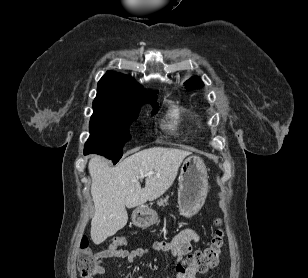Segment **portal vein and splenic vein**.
Masks as SVG:
<instances>
[{"label":"portal vein and splenic vein","instance_id":"portal-vein-and-splenic-vein-1","mask_svg":"<svg viewBox=\"0 0 308 278\" xmlns=\"http://www.w3.org/2000/svg\"><path fill=\"white\" fill-rule=\"evenodd\" d=\"M152 174H154L153 171L149 172L148 174H141V175L139 176V178L142 179V178L146 177L147 175H152Z\"/></svg>","mask_w":308,"mask_h":278}]
</instances>
